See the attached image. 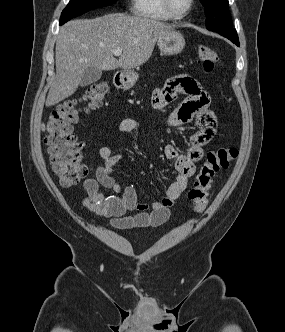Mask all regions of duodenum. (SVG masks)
I'll use <instances>...</instances> for the list:
<instances>
[{"instance_id": "410a0bca", "label": "duodenum", "mask_w": 285, "mask_h": 332, "mask_svg": "<svg viewBox=\"0 0 285 332\" xmlns=\"http://www.w3.org/2000/svg\"><path fill=\"white\" fill-rule=\"evenodd\" d=\"M122 83H123V81H122L121 77H117L116 84L120 86V85H122Z\"/></svg>"}]
</instances>
